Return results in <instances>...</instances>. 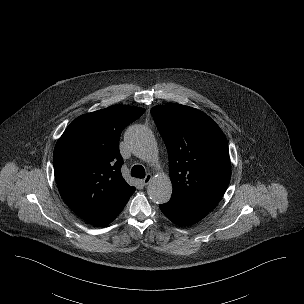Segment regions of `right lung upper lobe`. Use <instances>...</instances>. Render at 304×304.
<instances>
[{
    "mask_svg": "<svg viewBox=\"0 0 304 304\" xmlns=\"http://www.w3.org/2000/svg\"><path fill=\"white\" fill-rule=\"evenodd\" d=\"M145 109L110 106L76 118L58 140L54 174L59 192L80 218L97 224L135 191L121 175L122 130Z\"/></svg>",
    "mask_w": 304,
    "mask_h": 304,
    "instance_id": "cb5924a9",
    "label": "right lung upper lobe"
}]
</instances>
